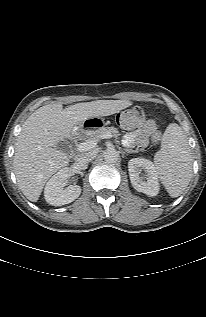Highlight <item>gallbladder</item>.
<instances>
[{
    "instance_id": "1",
    "label": "gallbladder",
    "mask_w": 206,
    "mask_h": 317,
    "mask_svg": "<svg viewBox=\"0 0 206 317\" xmlns=\"http://www.w3.org/2000/svg\"><path fill=\"white\" fill-rule=\"evenodd\" d=\"M56 148L59 150H62L65 153H68L70 151V147L66 141H61L56 145Z\"/></svg>"
}]
</instances>
